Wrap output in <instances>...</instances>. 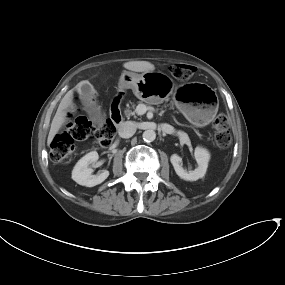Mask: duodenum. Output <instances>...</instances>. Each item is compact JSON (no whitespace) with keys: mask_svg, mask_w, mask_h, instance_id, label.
Returning <instances> with one entry per match:
<instances>
[{"mask_svg":"<svg viewBox=\"0 0 285 285\" xmlns=\"http://www.w3.org/2000/svg\"><path fill=\"white\" fill-rule=\"evenodd\" d=\"M121 101H122V94L118 93L112 102L111 109H110V116L112 122L116 125H120L122 122V111H121Z\"/></svg>","mask_w":285,"mask_h":285,"instance_id":"1","label":"duodenum"}]
</instances>
